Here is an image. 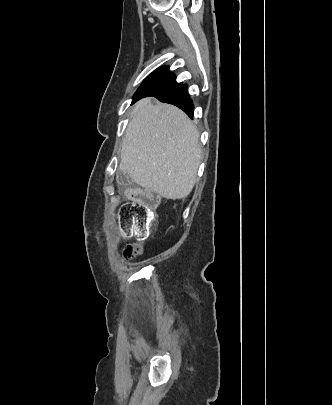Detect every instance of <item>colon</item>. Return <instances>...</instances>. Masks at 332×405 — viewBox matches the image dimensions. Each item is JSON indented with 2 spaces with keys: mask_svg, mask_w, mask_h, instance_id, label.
Listing matches in <instances>:
<instances>
[{
  "mask_svg": "<svg viewBox=\"0 0 332 405\" xmlns=\"http://www.w3.org/2000/svg\"><path fill=\"white\" fill-rule=\"evenodd\" d=\"M158 197L148 190H140L131 201H126L119 206L118 221L125 234L144 236L149 234L155 224V207ZM142 253V247L137 244H128L123 256L131 259Z\"/></svg>",
  "mask_w": 332,
  "mask_h": 405,
  "instance_id": "5ec220e1",
  "label": "colon"
}]
</instances>
